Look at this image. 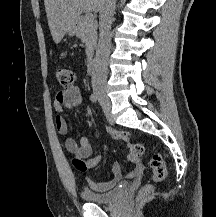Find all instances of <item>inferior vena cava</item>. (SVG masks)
Returning <instances> with one entry per match:
<instances>
[{
  "mask_svg": "<svg viewBox=\"0 0 216 217\" xmlns=\"http://www.w3.org/2000/svg\"><path fill=\"white\" fill-rule=\"evenodd\" d=\"M116 0H103L99 12V41L92 71V87H104L107 81L108 57L111 47V23Z\"/></svg>",
  "mask_w": 216,
  "mask_h": 217,
  "instance_id": "obj_1",
  "label": "inferior vena cava"
}]
</instances>
